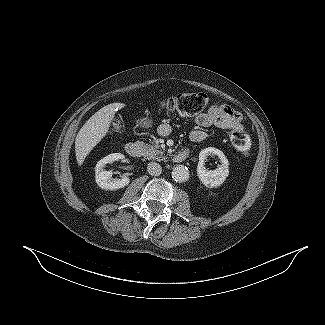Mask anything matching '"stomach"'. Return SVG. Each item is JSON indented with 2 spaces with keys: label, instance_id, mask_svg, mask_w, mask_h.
<instances>
[{
  "label": "stomach",
  "instance_id": "0dacf381",
  "mask_svg": "<svg viewBox=\"0 0 325 325\" xmlns=\"http://www.w3.org/2000/svg\"><path fill=\"white\" fill-rule=\"evenodd\" d=\"M152 120L149 119V118H144L142 119L140 122H139V125L142 127V128H150L152 126Z\"/></svg>",
  "mask_w": 325,
  "mask_h": 325
}]
</instances>
